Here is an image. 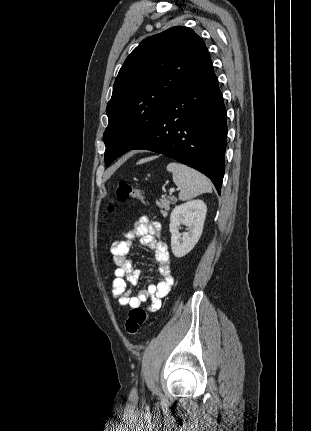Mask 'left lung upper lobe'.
Returning a JSON list of instances; mask_svg holds the SVG:
<instances>
[{
  "label": "left lung upper lobe",
  "instance_id": "obj_1",
  "mask_svg": "<svg viewBox=\"0 0 311 431\" xmlns=\"http://www.w3.org/2000/svg\"><path fill=\"white\" fill-rule=\"evenodd\" d=\"M207 54L203 40L182 26L148 37L132 51L116 77L106 108V166L152 132L168 103Z\"/></svg>",
  "mask_w": 311,
  "mask_h": 431
}]
</instances>
